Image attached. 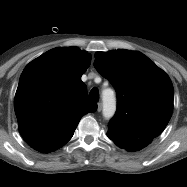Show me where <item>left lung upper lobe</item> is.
I'll return each instance as SVG.
<instances>
[{"label":"left lung upper lobe","instance_id":"1","mask_svg":"<svg viewBox=\"0 0 187 187\" xmlns=\"http://www.w3.org/2000/svg\"><path fill=\"white\" fill-rule=\"evenodd\" d=\"M94 66L117 93V111L107 135L125 138L124 147L141 150L163 132L171 118L170 78L142 53L124 49L96 52Z\"/></svg>","mask_w":187,"mask_h":187}]
</instances>
